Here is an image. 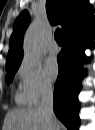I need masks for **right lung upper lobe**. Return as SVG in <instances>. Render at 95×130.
I'll list each match as a JSON object with an SVG mask.
<instances>
[{
  "instance_id": "1",
  "label": "right lung upper lobe",
  "mask_w": 95,
  "mask_h": 130,
  "mask_svg": "<svg viewBox=\"0 0 95 130\" xmlns=\"http://www.w3.org/2000/svg\"><path fill=\"white\" fill-rule=\"evenodd\" d=\"M46 9L50 22L62 25L64 39L94 24V10L88 0H47ZM29 22V13L23 11L14 23L6 70L18 68L21 64L23 34Z\"/></svg>"
}]
</instances>
